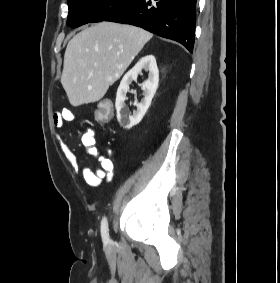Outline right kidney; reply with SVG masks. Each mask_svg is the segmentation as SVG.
<instances>
[{
    "label": "right kidney",
    "mask_w": 280,
    "mask_h": 283,
    "mask_svg": "<svg viewBox=\"0 0 280 283\" xmlns=\"http://www.w3.org/2000/svg\"><path fill=\"white\" fill-rule=\"evenodd\" d=\"M142 69L149 72L148 79L141 86L144 98L141 103H134L137 110L134 111L132 115H129V111L125 106L126 94L129 91V85L133 80L137 79V76ZM158 83L159 71L156 59L153 55L142 57L138 63L124 75L118 87L115 102L117 120L123 128L130 129L142 120L156 93Z\"/></svg>",
    "instance_id": "obj_1"
}]
</instances>
